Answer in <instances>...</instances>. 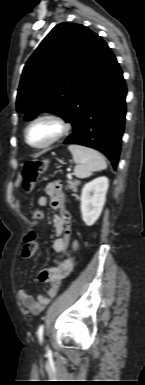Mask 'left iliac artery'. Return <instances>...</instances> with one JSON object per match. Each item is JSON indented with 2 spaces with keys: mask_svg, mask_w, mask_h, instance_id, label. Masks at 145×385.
<instances>
[{
  "mask_svg": "<svg viewBox=\"0 0 145 385\" xmlns=\"http://www.w3.org/2000/svg\"><path fill=\"white\" fill-rule=\"evenodd\" d=\"M43 332H44V326L41 325L38 329V337H39V341L42 342L43 341Z\"/></svg>",
  "mask_w": 145,
  "mask_h": 385,
  "instance_id": "1",
  "label": "left iliac artery"
}]
</instances>
